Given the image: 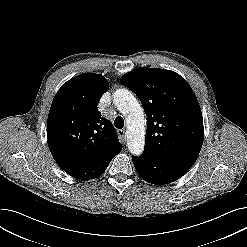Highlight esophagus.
I'll list each match as a JSON object with an SVG mask.
<instances>
[{
  "mask_svg": "<svg viewBox=\"0 0 247 247\" xmlns=\"http://www.w3.org/2000/svg\"><path fill=\"white\" fill-rule=\"evenodd\" d=\"M118 135H119V138L122 142H125L126 140V133H125V130H118Z\"/></svg>",
  "mask_w": 247,
  "mask_h": 247,
  "instance_id": "34e87169",
  "label": "esophagus"
}]
</instances>
